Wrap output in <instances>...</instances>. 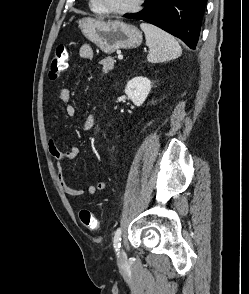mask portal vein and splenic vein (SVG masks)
I'll return each mask as SVG.
<instances>
[{
  "instance_id": "1",
  "label": "portal vein and splenic vein",
  "mask_w": 249,
  "mask_h": 294,
  "mask_svg": "<svg viewBox=\"0 0 249 294\" xmlns=\"http://www.w3.org/2000/svg\"><path fill=\"white\" fill-rule=\"evenodd\" d=\"M118 59H123V56L121 54L118 55Z\"/></svg>"
}]
</instances>
